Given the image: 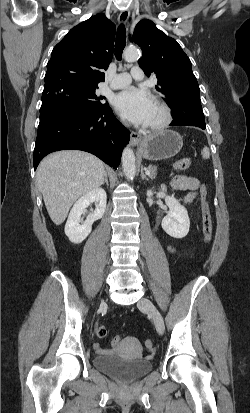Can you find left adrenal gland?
Masks as SVG:
<instances>
[{
    "label": "left adrenal gland",
    "instance_id": "left-adrenal-gland-1",
    "mask_svg": "<svg viewBox=\"0 0 250 413\" xmlns=\"http://www.w3.org/2000/svg\"><path fill=\"white\" fill-rule=\"evenodd\" d=\"M144 170H145V168H142V169H141V178H142L143 180H144V179H145V180H149L148 177L144 174Z\"/></svg>",
    "mask_w": 250,
    "mask_h": 413
}]
</instances>
